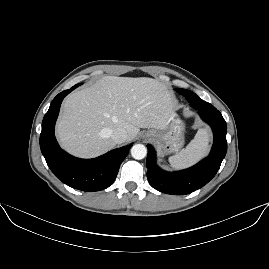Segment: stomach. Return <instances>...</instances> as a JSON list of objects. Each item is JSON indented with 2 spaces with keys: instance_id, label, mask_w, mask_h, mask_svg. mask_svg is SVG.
<instances>
[{
  "instance_id": "0dacf381",
  "label": "stomach",
  "mask_w": 269,
  "mask_h": 269,
  "mask_svg": "<svg viewBox=\"0 0 269 269\" xmlns=\"http://www.w3.org/2000/svg\"><path fill=\"white\" fill-rule=\"evenodd\" d=\"M180 127V121L171 118L169 120L168 133H161L156 130H152V137L154 139V143L159 147L161 152L169 153L177 151L181 148L183 144V137L180 133Z\"/></svg>"
}]
</instances>
